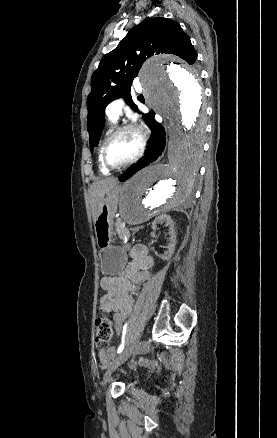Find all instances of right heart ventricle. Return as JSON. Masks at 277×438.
<instances>
[{
	"label": "right heart ventricle",
	"mask_w": 277,
	"mask_h": 438,
	"mask_svg": "<svg viewBox=\"0 0 277 438\" xmlns=\"http://www.w3.org/2000/svg\"><path fill=\"white\" fill-rule=\"evenodd\" d=\"M109 133L110 132L107 133V135L105 136V138L101 142V145H100V148H99V156H98L99 169H100L101 173H103V174H108L109 173L108 169L104 166V164L102 163V160H101L102 148H103V145H104L106 139L108 138Z\"/></svg>",
	"instance_id": "1"
}]
</instances>
